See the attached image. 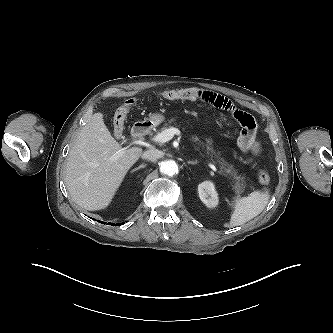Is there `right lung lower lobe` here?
I'll return each mask as SVG.
<instances>
[{
  "label": "right lung lower lobe",
  "instance_id": "98d812e1",
  "mask_svg": "<svg viewBox=\"0 0 333 333\" xmlns=\"http://www.w3.org/2000/svg\"><path fill=\"white\" fill-rule=\"evenodd\" d=\"M103 223V222H102ZM104 224H105V222H104ZM122 224H124V223H117V224H114V223H108L107 225H116V226H119V225H122Z\"/></svg>",
  "mask_w": 333,
  "mask_h": 333
}]
</instances>
